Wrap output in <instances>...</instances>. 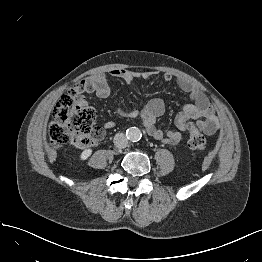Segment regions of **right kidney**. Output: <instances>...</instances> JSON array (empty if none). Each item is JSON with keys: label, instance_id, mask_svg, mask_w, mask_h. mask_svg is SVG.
Listing matches in <instances>:
<instances>
[{"label": "right kidney", "instance_id": "1", "mask_svg": "<svg viewBox=\"0 0 262 262\" xmlns=\"http://www.w3.org/2000/svg\"><path fill=\"white\" fill-rule=\"evenodd\" d=\"M91 153V149H85L80 155L81 160H86L91 155Z\"/></svg>", "mask_w": 262, "mask_h": 262}]
</instances>
